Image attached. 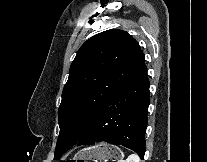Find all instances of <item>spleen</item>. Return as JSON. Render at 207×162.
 <instances>
[{"mask_svg":"<svg viewBox=\"0 0 207 162\" xmlns=\"http://www.w3.org/2000/svg\"><path fill=\"white\" fill-rule=\"evenodd\" d=\"M119 162H140V158L136 154H131L128 156V158L125 161L121 160Z\"/></svg>","mask_w":207,"mask_h":162,"instance_id":"spleen-1","label":"spleen"}]
</instances>
